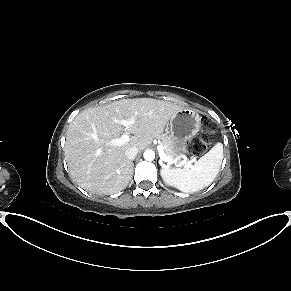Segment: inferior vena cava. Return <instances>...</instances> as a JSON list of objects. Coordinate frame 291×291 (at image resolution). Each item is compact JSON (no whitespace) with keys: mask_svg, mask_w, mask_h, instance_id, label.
Masks as SVG:
<instances>
[{"mask_svg":"<svg viewBox=\"0 0 291 291\" xmlns=\"http://www.w3.org/2000/svg\"><path fill=\"white\" fill-rule=\"evenodd\" d=\"M137 153H138V149L136 147H130L126 149L125 156L128 159L133 160L136 157Z\"/></svg>","mask_w":291,"mask_h":291,"instance_id":"602c4592","label":"inferior vena cava"}]
</instances>
